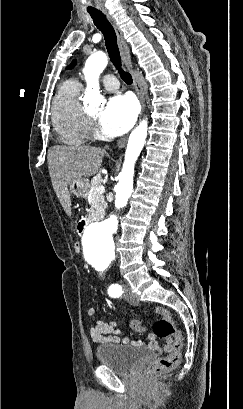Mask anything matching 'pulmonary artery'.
I'll return each mask as SVG.
<instances>
[{
    "mask_svg": "<svg viewBox=\"0 0 243 409\" xmlns=\"http://www.w3.org/2000/svg\"><path fill=\"white\" fill-rule=\"evenodd\" d=\"M103 85L107 91H115L119 87V82L112 74L105 75L102 79Z\"/></svg>",
    "mask_w": 243,
    "mask_h": 409,
    "instance_id": "obj_1",
    "label": "pulmonary artery"
}]
</instances>
